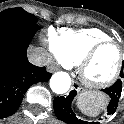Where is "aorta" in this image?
<instances>
[{
    "instance_id": "aorta-1",
    "label": "aorta",
    "mask_w": 124,
    "mask_h": 124,
    "mask_svg": "<svg viewBox=\"0 0 124 124\" xmlns=\"http://www.w3.org/2000/svg\"><path fill=\"white\" fill-rule=\"evenodd\" d=\"M71 86V78L66 72H56L50 79V88L56 94L66 93Z\"/></svg>"
}]
</instances>
